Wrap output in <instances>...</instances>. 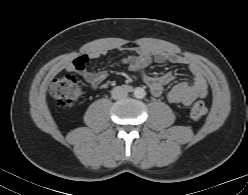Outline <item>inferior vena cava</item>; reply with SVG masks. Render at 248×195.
Masks as SVG:
<instances>
[{"instance_id": "obj_1", "label": "inferior vena cava", "mask_w": 248, "mask_h": 195, "mask_svg": "<svg viewBox=\"0 0 248 195\" xmlns=\"http://www.w3.org/2000/svg\"><path fill=\"white\" fill-rule=\"evenodd\" d=\"M127 95V90L122 86L114 87L112 90V98L115 100L124 99L127 97Z\"/></svg>"}]
</instances>
